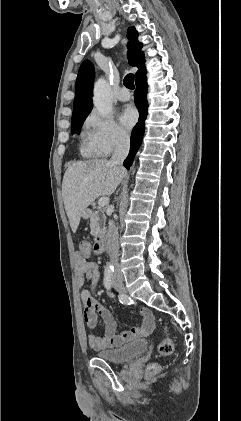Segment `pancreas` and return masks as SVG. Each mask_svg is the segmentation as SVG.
Wrapping results in <instances>:
<instances>
[{"label":"pancreas","instance_id":"pancreas-1","mask_svg":"<svg viewBox=\"0 0 241 421\" xmlns=\"http://www.w3.org/2000/svg\"><path fill=\"white\" fill-rule=\"evenodd\" d=\"M106 216L95 211L90 218V228L93 236H102L105 233Z\"/></svg>","mask_w":241,"mask_h":421}]
</instances>
